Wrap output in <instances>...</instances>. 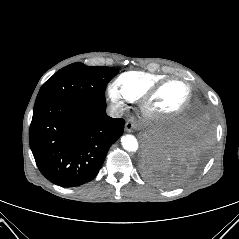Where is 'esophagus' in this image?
Segmentation results:
<instances>
[{"label": "esophagus", "mask_w": 239, "mask_h": 239, "mask_svg": "<svg viewBox=\"0 0 239 239\" xmlns=\"http://www.w3.org/2000/svg\"><path fill=\"white\" fill-rule=\"evenodd\" d=\"M136 128V125L134 122L132 121H127L125 124V130L127 132H132L134 129Z\"/></svg>", "instance_id": "esophagus-1"}]
</instances>
